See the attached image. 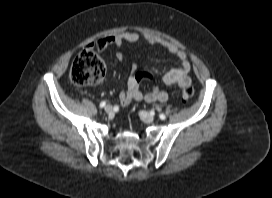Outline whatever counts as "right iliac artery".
<instances>
[{
    "label": "right iliac artery",
    "mask_w": 272,
    "mask_h": 198,
    "mask_svg": "<svg viewBox=\"0 0 272 198\" xmlns=\"http://www.w3.org/2000/svg\"><path fill=\"white\" fill-rule=\"evenodd\" d=\"M105 105H106V102H105V101H102V102L100 103V108H103Z\"/></svg>",
    "instance_id": "obj_1"
}]
</instances>
